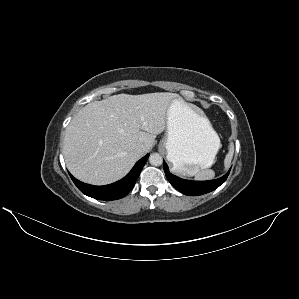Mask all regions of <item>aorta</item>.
I'll return each instance as SVG.
<instances>
[{"instance_id":"1","label":"aorta","mask_w":299,"mask_h":299,"mask_svg":"<svg viewBox=\"0 0 299 299\" xmlns=\"http://www.w3.org/2000/svg\"><path fill=\"white\" fill-rule=\"evenodd\" d=\"M149 162L153 166H160L163 162V158L159 153H153L149 157Z\"/></svg>"}]
</instances>
